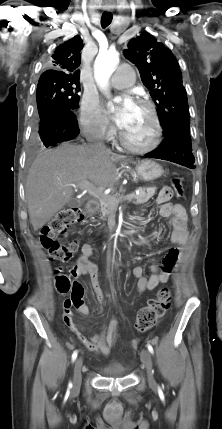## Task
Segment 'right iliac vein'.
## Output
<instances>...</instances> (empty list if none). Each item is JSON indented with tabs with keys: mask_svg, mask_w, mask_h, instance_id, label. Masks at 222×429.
Segmentation results:
<instances>
[{
	"mask_svg": "<svg viewBox=\"0 0 222 429\" xmlns=\"http://www.w3.org/2000/svg\"><path fill=\"white\" fill-rule=\"evenodd\" d=\"M83 360L81 357H79L74 364V370H73V388L74 390H78L81 385L82 380V374H81V368H82Z\"/></svg>",
	"mask_w": 222,
	"mask_h": 429,
	"instance_id": "1",
	"label": "right iliac vein"
}]
</instances>
